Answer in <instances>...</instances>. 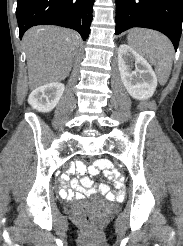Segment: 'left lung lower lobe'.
Wrapping results in <instances>:
<instances>
[{"label":"left lung lower lobe","mask_w":183,"mask_h":246,"mask_svg":"<svg viewBox=\"0 0 183 246\" xmlns=\"http://www.w3.org/2000/svg\"><path fill=\"white\" fill-rule=\"evenodd\" d=\"M183 21V0H116V32L143 27L165 34L178 48Z\"/></svg>","instance_id":"0a47b994"}]
</instances>
